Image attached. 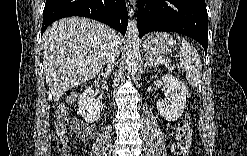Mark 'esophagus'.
I'll use <instances>...</instances> for the list:
<instances>
[{
	"mask_svg": "<svg viewBox=\"0 0 247 156\" xmlns=\"http://www.w3.org/2000/svg\"><path fill=\"white\" fill-rule=\"evenodd\" d=\"M126 5H127L129 16L133 17V15L135 13V9H136L135 1L134 0H127Z\"/></svg>",
	"mask_w": 247,
	"mask_h": 156,
	"instance_id": "esophagus-1",
	"label": "esophagus"
}]
</instances>
